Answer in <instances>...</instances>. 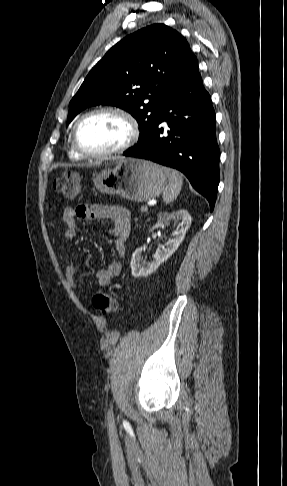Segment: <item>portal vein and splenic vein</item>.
<instances>
[{"label": "portal vein and splenic vein", "mask_w": 287, "mask_h": 486, "mask_svg": "<svg viewBox=\"0 0 287 486\" xmlns=\"http://www.w3.org/2000/svg\"><path fill=\"white\" fill-rule=\"evenodd\" d=\"M141 211L142 212H147L148 211V207L146 205L142 206L141 207Z\"/></svg>", "instance_id": "18ae733b"}]
</instances>
